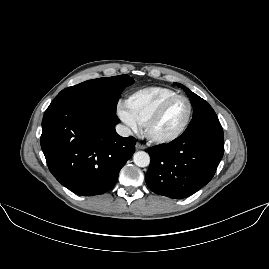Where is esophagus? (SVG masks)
I'll use <instances>...</instances> for the list:
<instances>
[{
	"mask_svg": "<svg viewBox=\"0 0 269 269\" xmlns=\"http://www.w3.org/2000/svg\"><path fill=\"white\" fill-rule=\"evenodd\" d=\"M135 147L137 150H144L145 149V146L139 142L136 143Z\"/></svg>",
	"mask_w": 269,
	"mask_h": 269,
	"instance_id": "1",
	"label": "esophagus"
}]
</instances>
